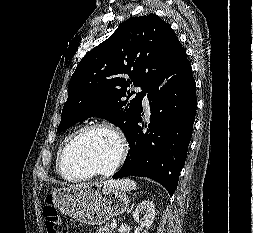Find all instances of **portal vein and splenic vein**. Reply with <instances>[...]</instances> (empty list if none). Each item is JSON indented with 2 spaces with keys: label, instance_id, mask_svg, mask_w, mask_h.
I'll return each instance as SVG.
<instances>
[{
  "label": "portal vein and splenic vein",
  "instance_id": "obj_1",
  "mask_svg": "<svg viewBox=\"0 0 253 233\" xmlns=\"http://www.w3.org/2000/svg\"><path fill=\"white\" fill-rule=\"evenodd\" d=\"M117 227V224L116 223H111V228H116Z\"/></svg>",
  "mask_w": 253,
  "mask_h": 233
}]
</instances>
